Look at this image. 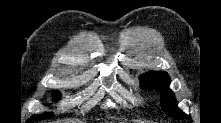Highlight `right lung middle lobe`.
<instances>
[{
  "instance_id": "dd1d6c3e",
  "label": "right lung middle lobe",
  "mask_w": 221,
  "mask_h": 123,
  "mask_svg": "<svg viewBox=\"0 0 221 123\" xmlns=\"http://www.w3.org/2000/svg\"><path fill=\"white\" fill-rule=\"evenodd\" d=\"M54 97H55V100H58L60 98V95L57 94ZM50 116H51L50 113H45L43 115H34V116L31 117V120L32 121L42 120V119L48 118Z\"/></svg>"
}]
</instances>
